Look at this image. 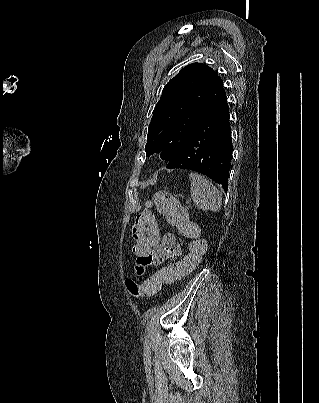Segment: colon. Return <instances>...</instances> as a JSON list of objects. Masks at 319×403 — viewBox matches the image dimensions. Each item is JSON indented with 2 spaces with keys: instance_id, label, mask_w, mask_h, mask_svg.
<instances>
[{
  "instance_id": "1",
  "label": "colon",
  "mask_w": 319,
  "mask_h": 403,
  "mask_svg": "<svg viewBox=\"0 0 319 403\" xmlns=\"http://www.w3.org/2000/svg\"><path fill=\"white\" fill-rule=\"evenodd\" d=\"M147 204L154 205L167 218L168 222L175 226L179 232L191 238L188 246V253L178 264L158 270L155 274L140 281L126 282L129 298H147L158 293L163 283H171L179 275H186L193 271L199 264L202 256L206 253L207 244L199 239L197 226L188 220L185 210L176 197L164 191L154 195ZM133 231L129 243L130 258H139L141 252H149L152 247H158L161 242L162 221L153 218L150 211H144L137 218H133Z\"/></svg>"
}]
</instances>
